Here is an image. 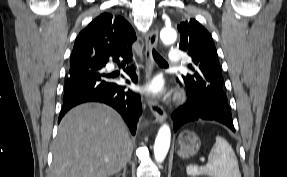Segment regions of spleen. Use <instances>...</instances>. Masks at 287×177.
<instances>
[{
	"mask_svg": "<svg viewBox=\"0 0 287 177\" xmlns=\"http://www.w3.org/2000/svg\"><path fill=\"white\" fill-rule=\"evenodd\" d=\"M189 176L207 175L210 177H241L238 160L230 144L222 137L216 136V142L208 156L205 166L189 165Z\"/></svg>",
	"mask_w": 287,
	"mask_h": 177,
	"instance_id": "spleen-1",
	"label": "spleen"
}]
</instances>
